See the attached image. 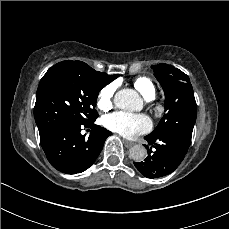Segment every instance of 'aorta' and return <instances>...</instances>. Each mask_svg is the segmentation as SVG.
<instances>
[{
    "mask_svg": "<svg viewBox=\"0 0 229 229\" xmlns=\"http://www.w3.org/2000/svg\"><path fill=\"white\" fill-rule=\"evenodd\" d=\"M114 104L117 108L137 111L142 108V100L133 89H122L114 96ZM129 155L134 161H143L147 156V150L143 145L137 144L130 148Z\"/></svg>",
    "mask_w": 229,
    "mask_h": 229,
    "instance_id": "1",
    "label": "aorta"
}]
</instances>
